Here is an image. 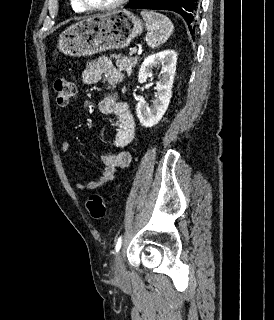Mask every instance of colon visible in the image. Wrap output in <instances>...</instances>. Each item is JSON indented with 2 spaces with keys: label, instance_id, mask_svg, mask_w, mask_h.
Segmentation results:
<instances>
[{
  "label": "colon",
  "instance_id": "1",
  "mask_svg": "<svg viewBox=\"0 0 274 320\" xmlns=\"http://www.w3.org/2000/svg\"><path fill=\"white\" fill-rule=\"evenodd\" d=\"M54 96L60 106H66L74 93V85L67 78L58 77L53 83ZM86 210L93 220H102L106 214V202L98 194L87 198L85 203Z\"/></svg>",
  "mask_w": 274,
  "mask_h": 320
}]
</instances>
